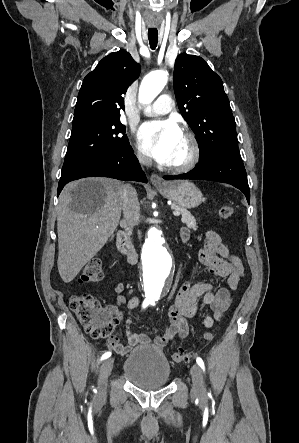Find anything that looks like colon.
Here are the masks:
<instances>
[{"label":"colon","instance_id":"5ec220e1","mask_svg":"<svg viewBox=\"0 0 299 443\" xmlns=\"http://www.w3.org/2000/svg\"><path fill=\"white\" fill-rule=\"evenodd\" d=\"M234 213L233 207L230 204L222 205L218 214L222 219H230ZM103 279V271L101 261L98 259H92L85 265L80 281L82 283H97ZM69 306L76 315L77 319L93 338L105 339L109 338L116 324V320L112 313L103 308L98 300L88 294H76L70 297ZM214 338V332L212 330L206 331L203 334V339L206 342L212 341ZM193 358V354L185 352L183 350L176 351L172 354V359L176 363H186Z\"/></svg>","mask_w":299,"mask_h":443}]
</instances>
